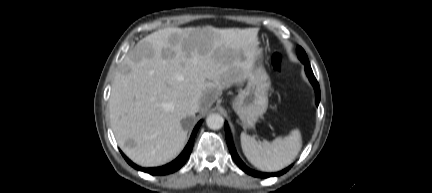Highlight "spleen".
<instances>
[{"label":"spleen","mask_w":432,"mask_h":193,"mask_svg":"<svg viewBox=\"0 0 432 193\" xmlns=\"http://www.w3.org/2000/svg\"><path fill=\"white\" fill-rule=\"evenodd\" d=\"M241 147L248 161L264 172L279 171L290 165L302 147V137L294 129L286 137H277L272 142H258L255 138L241 133Z\"/></svg>","instance_id":"spleen-1"}]
</instances>
